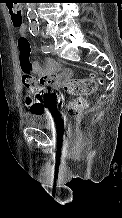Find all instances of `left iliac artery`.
Here are the masks:
<instances>
[{
    "instance_id": "left-iliac-artery-1",
    "label": "left iliac artery",
    "mask_w": 122,
    "mask_h": 218,
    "mask_svg": "<svg viewBox=\"0 0 122 218\" xmlns=\"http://www.w3.org/2000/svg\"><path fill=\"white\" fill-rule=\"evenodd\" d=\"M32 35L33 36H37L38 35V31H34V32H32ZM41 50H42V52L43 53H50V48H49V46L48 45H43V46H41Z\"/></svg>"
}]
</instances>
